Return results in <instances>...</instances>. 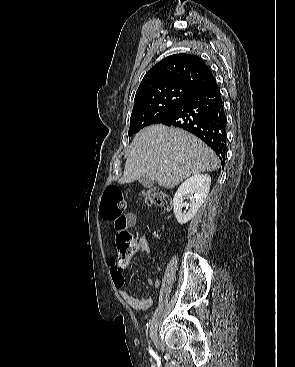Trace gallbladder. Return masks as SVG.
<instances>
[{
    "mask_svg": "<svg viewBox=\"0 0 295 367\" xmlns=\"http://www.w3.org/2000/svg\"><path fill=\"white\" fill-rule=\"evenodd\" d=\"M139 183L145 188H150L154 184V181L148 178H141L139 179Z\"/></svg>",
    "mask_w": 295,
    "mask_h": 367,
    "instance_id": "gallbladder-1",
    "label": "gallbladder"
}]
</instances>
